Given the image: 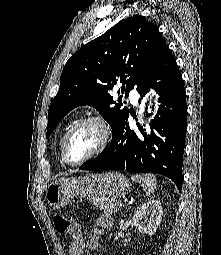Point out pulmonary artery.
I'll return each instance as SVG.
<instances>
[{
  "label": "pulmonary artery",
  "instance_id": "1",
  "mask_svg": "<svg viewBox=\"0 0 221 255\" xmlns=\"http://www.w3.org/2000/svg\"><path fill=\"white\" fill-rule=\"evenodd\" d=\"M129 94H130V98H131L132 102L136 103L137 98H138L137 92L134 89H132Z\"/></svg>",
  "mask_w": 221,
  "mask_h": 255
}]
</instances>
